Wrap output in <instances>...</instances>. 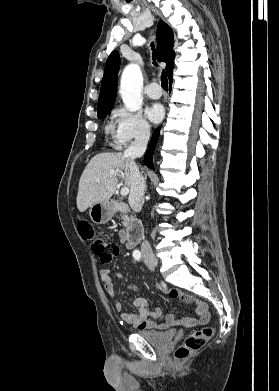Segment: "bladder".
Listing matches in <instances>:
<instances>
[{
    "instance_id": "31cf9c89",
    "label": "bladder",
    "mask_w": 279,
    "mask_h": 391,
    "mask_svg": "<svg viewBox=\"0 0 279 391\" xmlns=\"http://www.w3.org/2000/svg\"><path fill=\"white\" fill-rule=\"evenodd\" d=\"M137 334L156 348H165L169 346L177 337L176 330L167 331H145L140 330Z\"/></svg>"
}]
</instances>
